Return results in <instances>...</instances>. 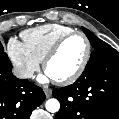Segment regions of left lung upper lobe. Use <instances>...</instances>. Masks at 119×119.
I'll return each mask as SVG.
<instances>
[{
  "label": "left lung upper lobe",
  "instance_id": "left-lung-upper-lobe-1",
  "mask_svg": "<svg viewBox=\"0 0 119 119\" xmlns=\"http://www.w3.org/2000/svg\"><path fill=\"white\" fill-rule=\"evenodd\" d=\"M82 29H83L84 33L86 34V36L88 37L89 41L91 42V44L94 48V51L91 54V57H90L88 64L93 63L97 59L103 57L104 55H106L110 51L114 50L109 44H107L106 42H104L101 39H99L98 37H96L88 29H86L84 27H82Z\"/></svg>",
  "mask_w": 119,
  "mask_h": 119
}]
</instances>
